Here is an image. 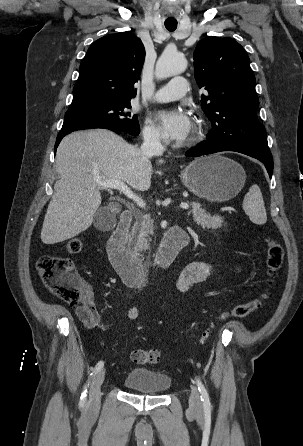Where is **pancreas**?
I'll return each instance as SVG.
<instances>
[{
	"mask_svg": "<svg viewBox=\"0 0 303 446\" xmlns=\"http://www.w3.org/2000/svg\"><path fill=\"white\" fill-rule=\"evenodd\" d=\"M42 10H46L45 7ZM194 222L202 228L217 229L223 226V218L221 216L211 215L203 209L199 202L191 203ZM154 234L152 220L149 217H143L137 214L131 232L127 234L128 250L133 253L141 252L149 249L150 235Z\"/></svg>",
	"mask_w": 303,
	"mask_h": 446,
	"instance_id": "obj_1",
	"label": "pancreas"
}]
</instances>
